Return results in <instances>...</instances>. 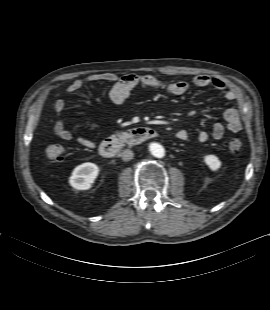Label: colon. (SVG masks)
<instances>
[{
	"label": "colon",
	"mask_w": 270,
	"mask_h": 310,
	"mask_svg": "<svg viewBox=\"0 0 270 310\" xmlns=\"http://www.w3.org/2000/svg\"><path fill=\"white\" fill-rule=\"evenodd\" d=\"M228 147L232 152H238L242 147V142L239 138H231L228 142ZM64 152V148L59 144L49 145L45 150L47 159L53 162L60 161L63 158Z\"/></svg>",
	"instance_id": "colon-1"
}]
</instances>
